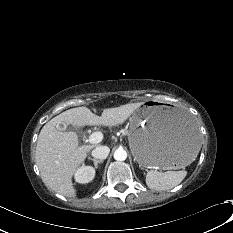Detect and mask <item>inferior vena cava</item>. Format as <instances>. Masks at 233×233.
I'll list each match as a JSON object with an SVG mask.
<instances>
[{"mask_svg": "<svg viewBox=\"0 0 233 233\" xmlns=\"http://www.w3.org/2000/svg\"><path fill=\"white\" fill-rule=\"evenodd\" d=\"M110 148L107 146H98L92 151V156L96 159H106L109 155Z\"/></svg>", "mask_w": 233, "mask_h": 233, "instance_id": "obj_1", "label": "inferior vena cava"}]
</instances>
